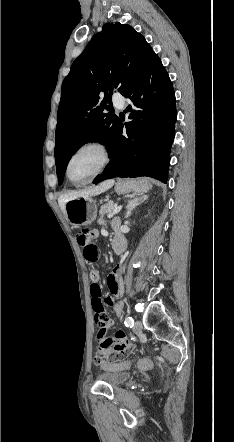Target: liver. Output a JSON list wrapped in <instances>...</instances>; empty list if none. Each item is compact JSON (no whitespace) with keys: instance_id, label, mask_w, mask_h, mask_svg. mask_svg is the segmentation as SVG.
<instances>
[{"instance_id":"1","label":"liver","mask_w":234,"mask_h":442,"mask_svg":"<svg viewBox=\"0 0 234 442\" xmlns=\"http://www.w3.org/2000/svg\"><path fill=\"white\" fill-rule=\"evenodd\" d=\"M113 185H114V180L109 179V180L103 181L99 185L91 187L89 189L62 195L58 200L60 208L63 211V213L65 214V204L67 202H69L73 199H76V198H80V197L89 198L91 196L99 195V194L105 192L106 190H108L109 188H111Z\"/></svg>"}]
</instances>
